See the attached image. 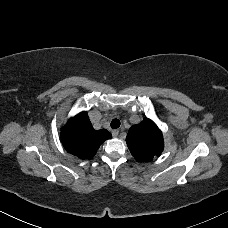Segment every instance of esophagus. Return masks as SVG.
<instances>
[{
  "instance_id": "obj_1",
  "label": "esophagus",
  "mask_w": 228,
  "mask_h": 228,
  "mask_svg": "<svg viewBox=\"0 0 228 228\" xmlns=\"http://www.w3.org/2000/svg\"><path fill=\"white\" fill-rule=\"evenodd\" d=\"M112 135H113V137H118V135H119V130H113V131H112Z\"/></svg>"
}]
</instances>
